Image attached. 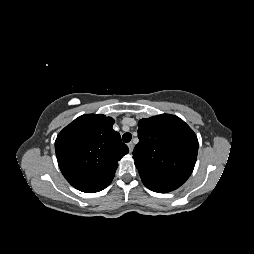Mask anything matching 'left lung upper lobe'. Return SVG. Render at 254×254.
Listing matches in <instances>:
<instances>
[{
    "instance_id": "5c2ea615",
    "label": "left lung upper lobe",
    "mask_w": 254,
    "mask_h": 254,
    "mask_svg": "<svg viewBox=\"0 0 254 254\" xmlns=\"http://www.w3.org/2000/svg\"><path fill=\"white\" fill-rule=\"evenodd\" d=\"M139 143L133 151L141 179L177 187L191 175L198 139L179 117L161 114L138 122Z\"/></svg>"
}]
</instances>
